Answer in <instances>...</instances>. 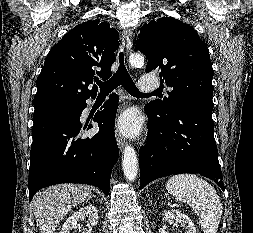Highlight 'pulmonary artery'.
<instances>
[{
  "mask_svg": "<svg viewBox=\"0 0 253 233\" xmlns=\"http://www.w3.org/2000/svg\"><path fill=\"white\" fill-rule=\"evenodd\" d=\"M139 87L142 91L152 93L159 87V82L153 77H142L139 80Z\"/></svg>",
  "mask_w": 253,
  "mask_h": 233,
  "instance_id": "1",
  "label": "pulmonary artery"
}]
</instances>
